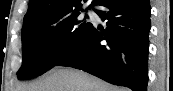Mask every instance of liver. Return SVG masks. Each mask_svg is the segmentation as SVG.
Here are the masks:
<instances>
[{
    "mask_svg": "<svg viewBox=\"0 0 173 91\" xmlns=\"http://www.w3.org/2000/svg\"><path fill=\"white\" fill-rule=\"evenodd\" d=\"M18 91H128L112 86L81 70L56 67Z\"/></svg>",
    "mask_w": 173,
    "mask_h": 91,
    "instance_id": "6515ba94",
    "label": "liver"
}]
</instances>
